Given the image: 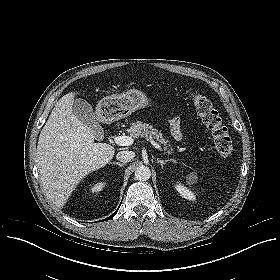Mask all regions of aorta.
Here are the masks:
<instances>
[{
	"label": "aorta",
	"instance_id": "aorta-1",
	"mask_svg": "<svg viewBox=\"0 0 280 280\" xmlns=\"http://www.w3.org/2000/svg\"><path fill=\"white\" fill-rule=\"evenodd\" d=\"M134 175L139 181H147L151 177V171L149 167L141 165L136 168Z\"/></svg>",
	"mask_w": 280,
	"mask_h": 280
}]
</instances>
